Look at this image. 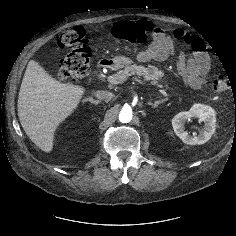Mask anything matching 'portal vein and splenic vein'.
<instances>
[{
  "label": "portal vein and splenic vein",
  "mask_w": 236,
  "mask_h": 236,
  "mask_svg": "<svg viewBox=\"0 0 236 236\" xmlns=\"http://www.w3.org/2000/svg\"><path fill=\"white\" fill-rule=\"evenodd\" d=\"M107 80L108 82L112 83V84H119L121 82H123V79L120 78V77H117L116 75H110L107 77ZM138 83L142 84V85H145V86H148V87H151L149 85H147L146 83L142 82L141 80H138V79H135ZM155 89L156 91H158L159 93H161L162 95L164 96H167V93L162 90V89H158V88H153Z\"/></svg>",
  "instance_id": "portal-vein-and-splenic-vein-1"
}]
</instances>
